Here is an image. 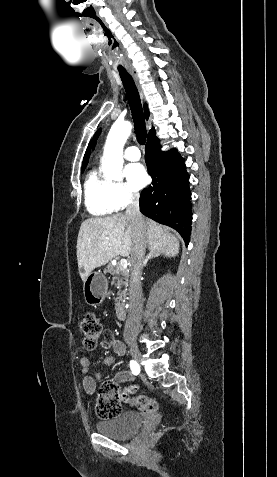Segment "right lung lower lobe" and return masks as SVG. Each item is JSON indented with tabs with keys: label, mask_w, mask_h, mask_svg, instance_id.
Here are the masks:
<instances>
[{
	"label": "right lung lower lobe",
	"mask_w": 277,
	"mask_h": 477,
	"mask_svg": "<svg viewBox=\"0 0 277 477\" xmlns=\"http://www.w3.org/2000/svg\"><path fill=\"white\" fill-rule=\"evenodd\" d=\"M145 159L153 181L141 192L140 211L176 229L187 246L191 234L192 203L185 160L175 149L162 152L157 137L147 141Z\"/></svg>",
	"instance_id": "98d812e1"
}]
</instances>
